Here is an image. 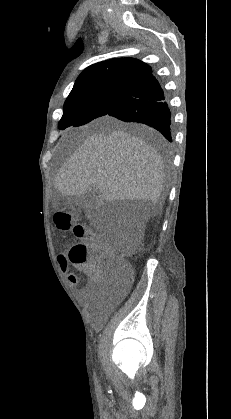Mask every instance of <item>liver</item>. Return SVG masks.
I'll return each instance as SVG.
<instances>
[{
  "mask_svg": "<svg viewBox=\"0 0 231 419\" xmlns=\"http://www.w3.org/2000/svg\"><path fill=\"white\" fill-rule=\"evenodd\" d=\"M100 122L112 130L86 138L59 170L56 189L62 195L82 196L93 187L100 200H144L154 205L147 216L156 215L165 179L161 156L118 121L105 117ZM132 238L135 248L138 233Z\"/></svg>",
  "mask_w": 231,
  "mask_h": 419,
  "instance_id": "1",
  "label": "liver"
}]
</instances>
